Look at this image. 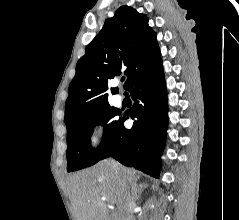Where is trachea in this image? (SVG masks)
Here are the masks:
<instances>
[{"label": "trachea", "instance_id": "trachea-1", "mask_svg": "<svg viewBox=\"0 0 239 220\" xmlns=\"http://www.w3.org/2000/svg\"><path fill=\"white\" fill-rule=\"evenodd\" d=\"M121 81L123 82V81H124V78H122Z\"/></svg>", "mask_w": 239, "mask_h": 220}]
</instances>
